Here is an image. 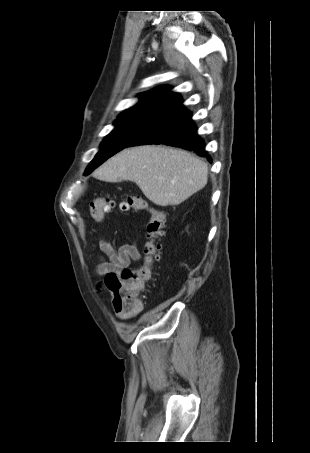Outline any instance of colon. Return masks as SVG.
<instances>
[{
	"label": "colon",
	"instance_id": "obj_1",
	"mask_svg": "<svg viewBox=\"0 0 310 453\" xmlns=\"http://www.w3.org/2000/svg\"><path fill=\"white\" fill-rule=\"evenodd\" d=\"M115 204V201L109 196L97 198L90 203V214L94 220L101 222L105 219L106 214L115 207ZM119 209L122 212L133 210L149 213L142 265L136 269H125L120 276L110 274L106 277L115 312L129 317L139 313L143 308L139 294L152 279L154 267L160 259V242L165 233L166 217L161 211L150 208L144 199L134 195L121 200Z\"/></svg>",
	"mask_w": 310,
	"mask_h": 453
}]
</instances>
